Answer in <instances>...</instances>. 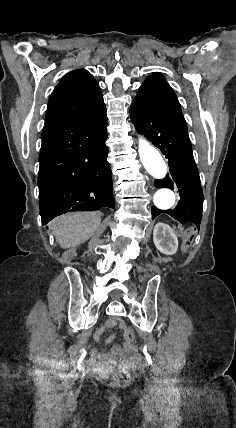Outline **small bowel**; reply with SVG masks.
<instances>
[{"mask_svg": "<svg viewBox=\"0 0 236 428\" xmlns=\"http://www.w3.org/2000/svg\"><path fill=\"white\" fill-rule=\"evenodd\" d=\"M125 329L123 321L117 318H110L94 335L95 341H99L101 337L113 328ZM111 339V338H110ZM109 339V340H110ZM92 363L101 371H105L114 365L130 366L140 361V355L135 348L128 343L122 346H113L110 353L99 352L95 349L90 350Z\"/></svg>", "mask_w": 236, "mask_h": 428, "instance_id": "1", "label": "small bowel"}]
</instances>
